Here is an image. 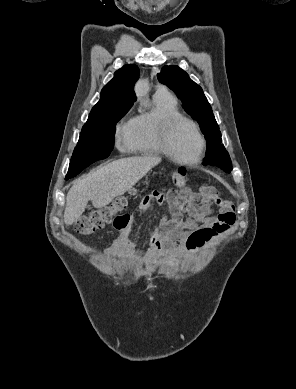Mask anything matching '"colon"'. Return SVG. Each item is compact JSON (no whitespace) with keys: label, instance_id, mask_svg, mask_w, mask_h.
I'll return each instance as SVG.
<instances>
[{"label":"colon","instance_id":"5ec220e1","mask_svg":"<svg viewBox=\"0 0 296 389\" xmlns=\"http://www.w3.org/2000/svg\"><path fill=\"white\" fill-rule=\"evenodd\" d=\"M171 178L174 186L183 190L186 189L188 183L186 170L178 169L174 171ZM201 189L207 191L209 188L202 186ZM127 207L128 199L126 197L117 198L110 205L93 209L83 215L76 224V230L80 234L88 235L110 223L123 225L127 218L125 214Z\"/></svg>","mask_w":296,"mask_h":389}]
</instances>
